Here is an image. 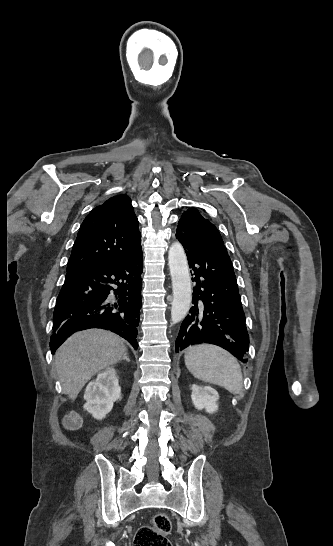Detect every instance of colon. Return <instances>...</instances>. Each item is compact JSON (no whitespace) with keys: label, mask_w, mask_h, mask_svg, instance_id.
<instances>
[{"label":"colon","mask_w":333,"mask_h":546,"mask_svg":"<svg viewBox=\"0 0 333 546\" xmlns=\"http://www.w3.org/2000/svg\"><path fill=\"white\" fill-rule=\"evenodd\" d=\"M171 530V520L165 513H158L153 518L152 525L140 527L134 538V546H171L168 534Z\"/></svg>","instance_id":"colon-1"}]
</instances>
